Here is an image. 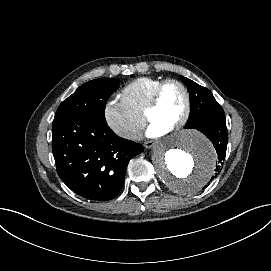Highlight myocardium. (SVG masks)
Returning <instances> with one entry per match:
<instances>
[{
    "mask_svg": "<svg viewBox=\"0 0 271 271\" xmlns=\"http://www.w3.org/2000/svg\"><path fill=\"white\" fill-rule=\"evenodd\" d=\"M170 83L179 85L185 93L187 106L184 115L175 123L169 133L175 132L183 128L191 119L193 112V98L191 91L187 84L178 78H167L162 80L152 93L151 100L145 111L146 121L150 123V115L153 113L160 104V97L163 89Z\"/></svg>",
    "mask_w": 271,
    "mask_h": 271,
    "instance_id": "f54148a6",
    "label": "myocardium"
}]
</instances>
